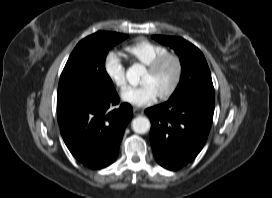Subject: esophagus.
<instances>
[{"instance_id": "34e87169", "label": "esophagus", "mask_w": 272, "mask_h": 198, "mask_svg": "<svg viewBox=\"0 0 272 198\" xmlns=\"http://www.w3.org/2000/svg\"><path fill=\"white\" fill-rule=\"evenodd\" d=\"M133 113L135 116H140L144 113V110L143 109H140V108H133Z\"/></svg>"}]
</instances>
